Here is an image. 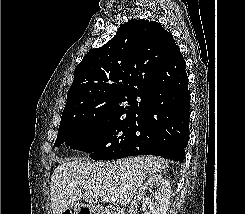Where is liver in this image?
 Masks as SVG:
<instances>
[{
    "mask_svg": "<svg viewBox=\"0 0 245 214\" xmlns=\"http://www.w3.org/2000/svg\"><path fill=\"white\" fill-rule=\"evenodd\" d=\"M168 167L167 161L142 156L108 162L66 161L51 177L53 214H62L79 199L93 205L102 195H117L120 205L129 204L143 181ZM79 183L84 184L82 192Z\"/></svg>",
    "mask_w": 245,
    "mask_h": 214,
    "instance_id": "6515ba94",
    "label": "liver"
}]
</instances>
